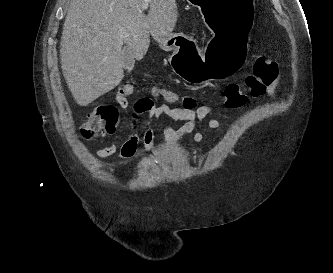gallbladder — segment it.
Instances as JSON below:
<instances>
[{
	"instance_id": "1",
	"label": "gallbladder",
	"mask_w": 333,
	"mask_h": 273,
	"mask_svg": "<svg viewBox=\"0 0 333 273\" xmlns=\"http://www.w3.org/2000/svg\"><path fill=\"white\" fill-rule=\"evenodd\" d=\"M123 54V68L127 71H131L135 64L133 53L128 46H125L122 50Z\"/></svg>"
}]
</instances>
